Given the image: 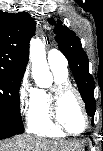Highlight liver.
Segmentation results:
<instances>
[{"label":"liver","mask_w":103,"mask_h":151,"mask_svg":"<svg viewBox=\"0 0 103 151\" xmlns=\"http://www.w3.org/2000/svg\"><path fill=\"white\" fill-rule=\"evenodd\" d=\"M81 146L67 141L48 140L41 137L21 135L1 142L0 151H80Z\"/></svg>","instance_id":"obj_1"}]
</instances>
